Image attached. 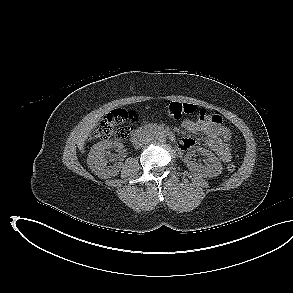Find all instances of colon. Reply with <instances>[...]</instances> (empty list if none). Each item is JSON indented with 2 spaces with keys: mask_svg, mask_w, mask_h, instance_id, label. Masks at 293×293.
Wrapping results in <instances>:
<instances>
[{
  "mask_svg": "<svg viewBox=\"0 0 293 293\" xmlns=\"http://www.w3.org/2000/svg\"><path fill=\"white\" fill-rule=\"evenodd\" d=\"M166 113L174 119H180L185 115L197 114L202 120L222 126L220 115L208 112L205 109L198 110L195 105L189 103L171 102L166 108ZM136 120L137 114L134 111L114 109L101 119L91 134L98 139L115 138L125 140L129 137L132 125ZM227 168L229 171H234L236 164L229 163Z\"/></svg>",
  "mask_w": 293,
  "mask_h": 293,
  "instance_id": "5ec220e1",
  "label": "colon"
}]
</instances>
